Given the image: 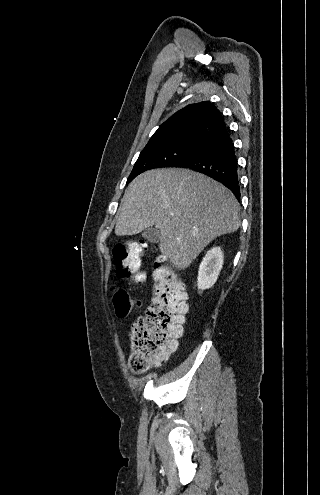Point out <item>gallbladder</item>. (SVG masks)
<instances>
[{"label":"gallbladder","instance_id":"obj_1","mask_svg":"<svg viewBox=\"0 0 320 495\" xmlns=\"http://www.w3.org/2000/svg\"><path fill=\"white\" fill-rule=\"evenodd\" d=\"M160 236L159 229L155 227H148L142 233V237L153 243L158 242L160 240Z\"/></svg>","mask_w":320,"mask_h":495}]
</instances>
